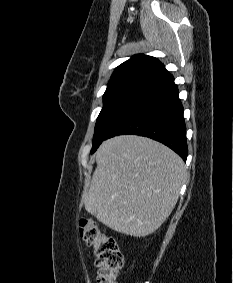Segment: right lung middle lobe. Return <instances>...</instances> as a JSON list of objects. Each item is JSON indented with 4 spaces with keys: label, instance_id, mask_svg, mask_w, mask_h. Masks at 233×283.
<instances>
[{
    "label": "right lung middle lobe",
    "instance_id": "obj_1",
    "mask_svg": "<svg viewBox=\"0 0 233 283\" xmlns=\"http://www.w3.org/2000/svg\"><path fill=\"white\" fill-rule=\"evenodd\" d=\"M150 83L145 80L128 81L106 89L103 95V108L95 125L91 153L96 151L110 129Z\"/></svg>",
    "mask_w": 233,
    "mask_h": 283
}]
</instances>
